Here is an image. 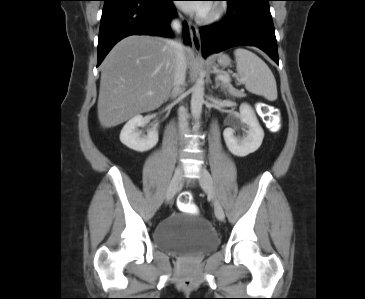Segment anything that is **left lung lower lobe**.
<instances>
[{
    "mask_svg": "<svg viewBox=\"0 0 365 299\" xmlns=\"http://www.w3.org/2000/svg\"><path fill=\"white\" fill-rule=\"evenodd\" d=\"M228 1V13L217 24L200 29L202 52L206 57L239 45L256 46L279 64L274 25L270 14L271 0Z\"/></svg>",
    "mask_w": 365,
    "mask_h": 299,
    "instance_id": "obj_1",
    "label": "left lung lower lobe"
}]
</instances>
